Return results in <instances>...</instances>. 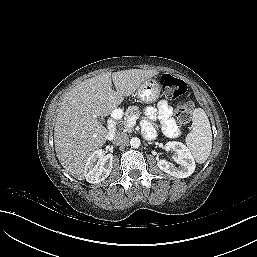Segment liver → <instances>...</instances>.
Returning <instances> with one entry per match:
<instances>
[{
	"instance_id": "6515ba94",
	"label": "liver",
	"mask_w": 257,
	"mask_h": 257,
	"mask_svg": "<svg viewBox=\"0 0 257 257\" xmlns=\"http://www.w3.org/2000/svg\"><path fill=\"white\" fill-rule=\"evenodd\" d=\"M158 73L142 69L107 72L81 82L65 95L57 113L54 142L57 158L69 174L83 180L87 159L107 141L108 130L97 117L111 114L124 97Z\"/></svg>"
}]
</instances>
